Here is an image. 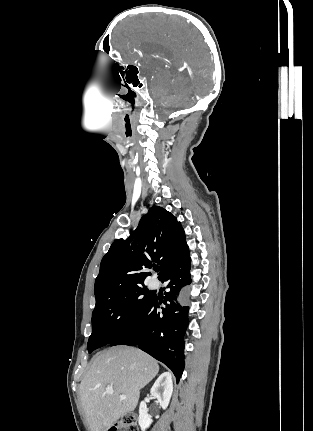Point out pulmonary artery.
<instances>
[{
  "label": "pulmonary artery",
  "instance_id": "e3ab8cb5",
  "mask_svg": "<svg viewBox=\"0 0 313 431\" xmlns=\"http://www.w3.org/2000/svg\"><path fill=\"white\" fill-rule=\"evenodd\" d=\"M156 286H157V283H156V282H152V283H151V287H152V288H155Z\"/></svg>",
  "mask_w": 313,
  "mask_h": 431
}]
</instances>
